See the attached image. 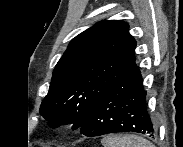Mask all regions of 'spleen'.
Returning <instances> with one entry per match:
<instances>
[{
    "label": "spleen",
    "instance_id": "3e777b00",
    "mask_svg": "<svg viewBox=\"0 0 183 147\" xmlns=\"http://www.w3.org/2000/svg\"><path fill=\"white\" fill-rule=\"evenodd\" d=\"M103 147H155L151 142L137 135H109L101 141Z\"/></svg>",
    "mask_w": 183,
    "mask_h": 147
}]
</instances>
